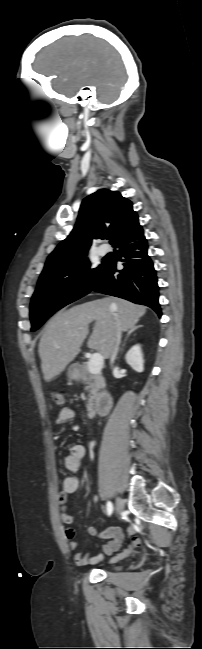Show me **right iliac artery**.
<instances>
[{"mask_svg":"<svg viewBox=\"0 0 202 649\" xmlns=\"http://www.w3.org/2000/svg\"><path fill=\"white\" fill-rule=\"evenodd\" d=\"M107 512H108V515H109V516H110V515L112 514V512H113V504H112L110 501L107 502Z\"/></svg>","mask_w":202,"mask_h":649,"instance_id":"obj_1","label":"right iliac artery"}]
</instances>
